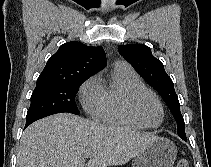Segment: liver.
Segmentation results:
<instances>
[{
    "label": "liver",
    "instance_id": "liver-1",
    "mask_svg": "<svg viewBox=\"0 0 211 167\" xmlns=\"http://www.w3.org/2000/svg\"><path fill=\"white\" fill-rule=\"evenodd\" d=\"M123 127H109L68 113L31 124L21 137L17 167H108L126 164L154 141Z\"/></svg>",
    "mask_w": 211,
    "mask_h": 167
}]
</instances>
